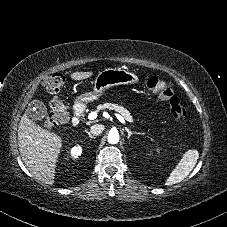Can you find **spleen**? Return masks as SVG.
Segmentation results:
<instances>
[{"mask_svg":"<svg viewBox=\"0 0 227 227\" xmlns=\"http://www.w3.org/2000/svg\"><path fill=\"white\" fill-rule=\"evenodd\" d=\"M198 157L199 152L196 149H190L186 151L180 162L170 173L169 177L165 182V185L170 186L173 184H177L181 182L184 178H186L195 167Z\"/></svg>","mask_w":227,"mask_h":227,"instance_id":"3e777b00","label":"spleen"}]
</instances>
